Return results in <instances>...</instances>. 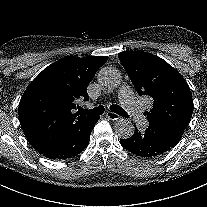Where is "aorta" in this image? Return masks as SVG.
Masks as SVG:
<instances>
[{"label":"aorta","mask_w":207,"mask_h":207,"mask_svg":"<svg viewBox=\"0 0 207 207\" xmlns=\"http://www.w3.org/2000/svg\"><path fill=\"white\" fill-rule=\"evenodd\" d=\"M98 82L106 90L117 88L122 80L120 72L113 67H104L98 72ZM115 132L122 139L132 137L135 131L133 123L128 119H119L115 123Z\"/></svg>","instance_id":"1"}]
</instances>
